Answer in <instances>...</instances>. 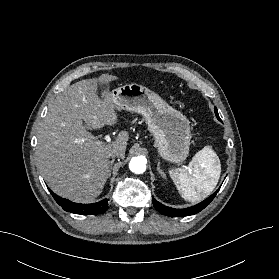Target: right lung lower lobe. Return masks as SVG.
I'll use <instances>...</instances> for the list:
<instances>
[{"instance_id": "right-lung-lower-lobe-1", "label": "right lung lower lobe", "mask_w": 279, "mask_h": 279, "mask_svg": "<svg viewBox=\"0 0 279 279\" xmlns=\"http://www.w3.org/2000/svg\"><path fill=\"white\" fill-rule=\"evenodd\" d=\"M50 193L52 194L55 201L68 212L76 213V214H101L102 212L108 209V201L107 199H103L100 202L93 204H78L71 202L67 199L61 198L60 196L54 194L50 189Z\"/></svg>"}]
</instances>
